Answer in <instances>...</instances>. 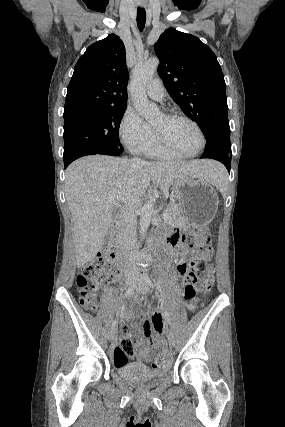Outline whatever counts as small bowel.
Instances as JSON below:
<instances>
[{"instance_id":"1","label":"small bowel","mask_w":285,"mask_h":427,"mask_svg":"<svg viewBox=\"0 0 285 427\" xmlns=\"http://www.w3.org/2000/svg\"><path fill=\"white\" fill-rule=\"evenodd\" d=\"M168 241L172 245L178 244V239L174 237L173 231L169 234ZM191 257L196 258V255H191ZM200 258H205L200 256ZM184 261V259L182 260ZM145 300L141 296L134 304L132 310L126 306L121 308L120 314L122 319L127 322L130 326V331L128 337L133 338L136 346L138 348L137 352L132 356L128 357L118 349L114 351V363L117 367H123L127 364L129 358H133L137 361H149L151 359V352L155 349L153 341L157 340L158 344L161 343L159 339V333L161 332L162 316L159 312L153 314L150 320H146L143 323V330H141L135 320L142 313V308ZM186 308L190 311L194 310L195 304L191 301H186L184 303Z\"/></svg>"}]
</instances>
